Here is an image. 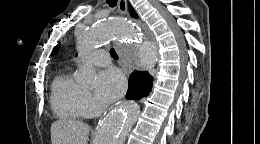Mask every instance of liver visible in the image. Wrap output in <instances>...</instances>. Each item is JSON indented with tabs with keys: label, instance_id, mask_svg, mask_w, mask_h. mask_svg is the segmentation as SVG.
Returning <instances> with one entry per match:
<instances>
[{
	"label": "liver",
	"instance_id": "1",
	"mask_svg": "<svg viewBox=\"0 0 260 144\" xmlns=\"http://www.w3.org/2000/svg\"><path fill=\"white\" fill-rule=\"evenodd\" d=\"M90 127L78 120L59 119L51 125L52 144H87Z\"/></svg>",
	"mask_w": 260,
	"mask_h": 144
}]
</instances>
